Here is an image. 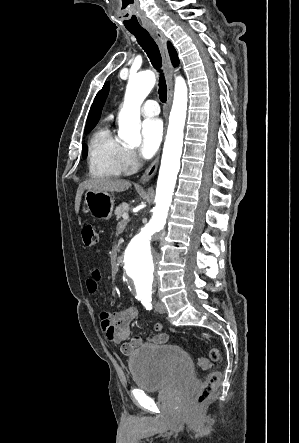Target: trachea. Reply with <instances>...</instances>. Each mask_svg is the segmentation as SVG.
<instances>
[{"instance_id": "obj_1", "label": "trachea", "mask_w": 299, "mask_h": 443, "mask_svg": "<svg viewBox=\"0 0 299 443\" xmlns=\"http://www.w3.org/2000/svg\"><path fill=\"white\" fill-rule=\"evenodd\" d=\"M129 32L132 33L136 37L139 45L146 52L153 67L159 72L158 94H159L160 100L162 102H166V100H167V85H166L164 74L161 69L162 58H161V54H160L157 44L155 43L153 38L150 36V34L145 29L129 30Z\"/></svg>"}]
</instances>
